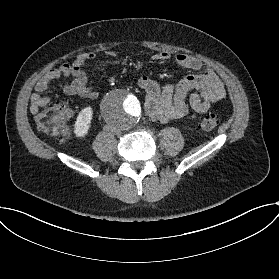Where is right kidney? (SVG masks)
Listing matches in <instances>:
<instances>
[{"label": "right kidney", "instance_id": "right-kidney-1", "mask_svg": "<svg viewBox=\"0 0 279 279\" xmlns=\"http://www.w3.org/2000/svg\"><path fill=\"white\" fill-rule=\"evenodd\" d=\"M92 116L93 110L91 107H86L79 112L74 125L76 137H84L88 133Z\"/></svg>", "mask_w": 279, "mask_h": 279}]
</instances>
